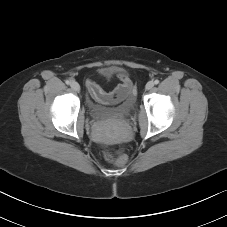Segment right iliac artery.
Here are the masks:
<instances>
[{
	"label": "right iliac artery",
	"instance_id": "right-iliac-artery-1",
	"mask_svg": "<svg viewBox=\"0 0 227 227\" xmlns=\"http://www.w3.org/2000/svg\"><path fill=\"white\" fill-rule=\"evenodd\" d=\"M65 83H66L67 85H70L71 82H70L69 80H66Z\"/></svg>",
	"mask_w": 227,
	"mask_h": 227
}]
</instances>
